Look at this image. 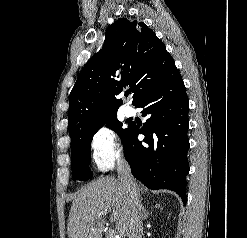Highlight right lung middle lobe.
<instances>
[{"mask_svg": "<svg viewBox=\"0 0 247 238\" xmlns=\"http://www.w3.org/2000/svg\"><path fill=\"white\" fill-rule=\"evenodd\" d=\"M108 126L112 130L116 131L120 136L122 142L124 141L129 127L126 129L122 128V122L118 121L115 117L99 124L91 129H89L86 133H84L79 140L72 145V175L73 180H81L84 181L92 176L89 163H90V152H91V141L93 139V135L104 125Z\"/></svg>", "mask_w": 247, "mask_h": 238, "instance_id": "right-lung-middle-lobe-1", "label": "right lung middle lobe"}]
</instances>
